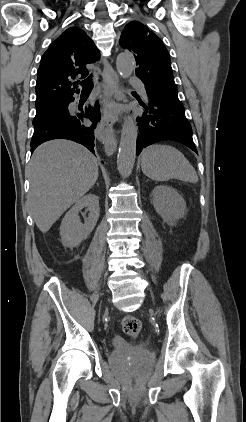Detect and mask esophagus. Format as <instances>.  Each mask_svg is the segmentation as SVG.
<instances>
[{
    "label": "esophagus",
    "mask_w": 246,
    "mask_h": 422,
    "mask_svg": "<svg viewBox=\"0 0 246 422\" xmlns=\"http://www.w3.org/2000/svg\"><path fill=\"white\" fill-rule=\"evenodd\" d=\"M103 65L105 103L119 101L121 99V92L117 73L106 59L103 60ZM117 119L118 117L115 113L108 112L107 109H104L103 116L97 127V136L105 144V149L108 153L113 152L117 145L113 134V126Z\"/></svg>",
    "instance_id": "1"
}]
</instances>
